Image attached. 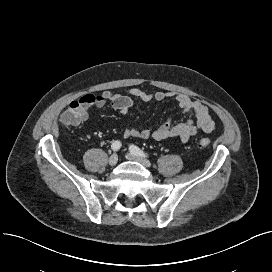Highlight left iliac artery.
Returning <instances> with one entry per match:
<instances>
[{
	"instance_id": "1",
	"label": "left iliac artery",
	"mask_w": 272,
	"mask_h": 272,
	"mask_svg": "<svg viewBox=\"0 0 272 272\" xmlns=\"http://www.w3.org/2000/svg\"><path fill=\"white\" fill-rule=\"evenodd\" d=\"M130 151L136 155V156H140V157H148V154L145 153L143 150H141L139 147L135 146V145H131L129 147Z\"/></svg>"
}]
</instances>
